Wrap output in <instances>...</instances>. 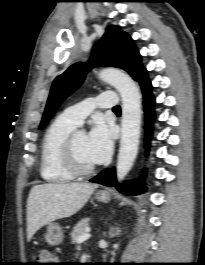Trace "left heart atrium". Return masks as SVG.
Here are the masks:
<instances>
[{"instance_id":"left-heart-atrium-1","label":"left heart atrium","mask_w":205,"mask_h":265,"mask_svg":"<svg viewBox=\"0 0 205 265\" xmlns=\"http://www.w3.org/2000/svg\"><path fill=\"white\" fill-rule=\"evenodd\" d=\"M87 147L90 158L95 164L104 162L110 156L113 136L111 129L104 121H95L87 135Z\"/></svg>"}]
</instances>
